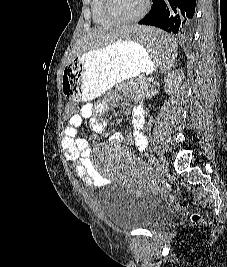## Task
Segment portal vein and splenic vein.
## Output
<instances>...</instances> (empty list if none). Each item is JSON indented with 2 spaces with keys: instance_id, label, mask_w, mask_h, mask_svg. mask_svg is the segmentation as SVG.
Wrapping results in <instances>:
<instances>
[{
  "instance_id": "1",
  "label": "portal vein and splenic vein",
  "mask_w": 227,
  "mask_h": 267,
  "mask_svg": "<svg viewBox=\"0 0 227 267\" xmlns=\"http://www.w3.org/2000/svg\"><path fill=\"white\" fill-rule=\"evenodd\" d=\"M153 79H152V77L149 79V81H152Z\"/></svg>"
}]
</instances>
